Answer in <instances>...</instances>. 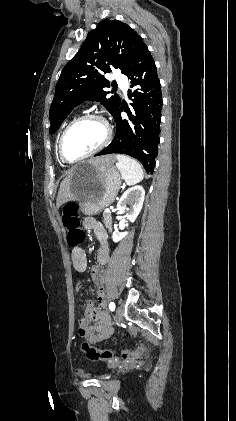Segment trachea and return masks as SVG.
<instances>
[{
	"label": "trachea",
	"mask_w": 236,
	"mask_h": 421,
	"mask_svg": "<svg viewBox=\"0 0 236 421\" xmlns=\"http://www.w3.org/2000/svg\"><path fill=\"white\" fill-rule=\"evenodd\" d=\"M116 89H117V86L113 87V89H112V90H116Z\"/></svg>",
	"instance_id": "obj_1"
}]
</instances>
